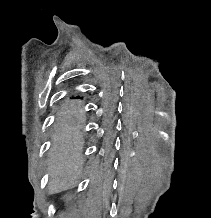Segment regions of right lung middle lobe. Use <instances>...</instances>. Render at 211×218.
I'll list each match as a JSON object with an SVG mask.
<instances>
[{
	"instance_id": "right-lung-middle-lobe-1",
	"label": "right lung middle lobe",
	"mask_w": 211,
	"mask_h": 218,
	"mask_svg": "<svg viewBox=\"0 0 211 218\" xmlns=\"http://www.w3.org/2000/svg\"><path fill=\"white\" fill-rule=\"evenodd\" d=\"M77 99L79 98H70L67 101H65L61 106L62 110L71 112L81 109L83 104L81 101H78Z\"/></svg>"
}]
</instances>
